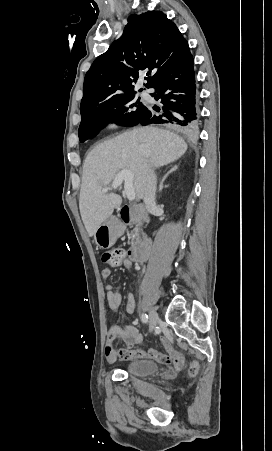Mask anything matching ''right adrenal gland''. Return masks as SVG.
Masks as SVG:
<instances>
[{
    "instance_id": "1",
    "label": "right adrenal gland",
    "mask_w": 272,
    "mask_h": 451,
    "mask_svg": "<svg viewBox=\"0 0 272 451\" xmlns=\"http://www.w3.org/2000/svg\"><path fill=\"white\" fill-rule=\"evenodd\" d=\"M178 166H173V168H171V170H169V172H167V174H165L164 178H162L160 184H159V190L158 192H162L163 190V182H165L167 176H169V174H172V172H175V170H177Z\"/></svg>"
}]
</instances>
